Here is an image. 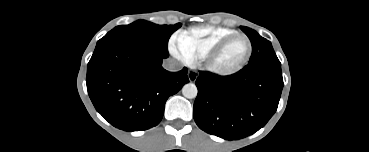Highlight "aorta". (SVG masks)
Instances as JSON below:
<instances>
[{
    "instance_id": "762f6f07",
    "label": "aorta",
    "mask_w": 369,
    "mask_h": 152,
    "mask_svg": "<svg viewBox=\"0 0 369 152\" xmlns=\"http://www.w3.org/2000/svg\"><path fill=\"white\" fill-rule=\"evenodd\" d=\"M198 90L195 84L188 83L185 84L182 88V94L184 97L188 99H193L197 96Z\"/></svg>"
}]
</instances>
